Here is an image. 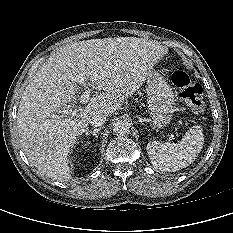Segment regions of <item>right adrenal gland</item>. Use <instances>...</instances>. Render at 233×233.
<instances>
[{
    "label": "right adrenal gland",
    "mask_w": 233,
    "mask_h": 233,
    "mask_svg": "<svg viewBox=\"0 0 233 233\" xmlns=\"http://www.w3.org/2000/svg\"><path fill=\"white\" fill-rule=\"evenodd\" d=\"M101 129H102V127L95 128L93 131H87V132L85 133V135L89 136V135L91 134V135L94 136L95 138H98L97 132L100 131Z\"/></svg>",
    "instance_id": "right-adrenal-gland-1"
}]
</instances>
